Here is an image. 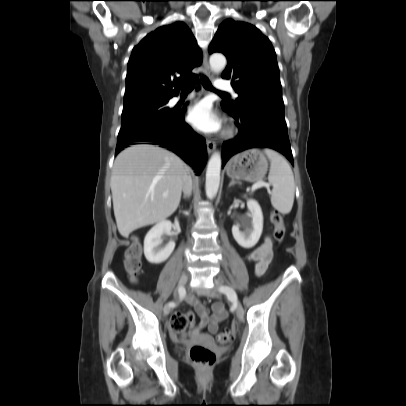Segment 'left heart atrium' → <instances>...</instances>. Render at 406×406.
Instances as JSON below:
<instances>
[{
	"label": "left heart atrium",
	"mask_w": 406,
	"mask_h": 406,
	"mask_svg": "<svg viewBox=\"0 0 406 406\" xmlns=\"http://www.w3.org/2000/svg\"><path fill=\"white\" fill-rule=\"evenodd\" d=\"M189 123L203 133H215L221 129L220 118L212 111L206 101L193 105L188 112Z\"/></svg>",
	"instance_id": "left-heart-atrium-1"
}]
</instances>
